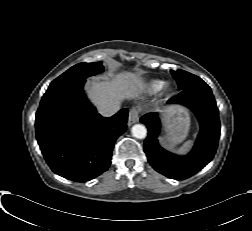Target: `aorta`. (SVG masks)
Returning <instances> with one entry per match:
<instances>
[{
	"label": "aorta",
	"instance_id": "aorta-1",
	"mask_svg": "<svg viewBox=\"0 0 252 231\" xmlns=\"http://www.w3.org/2000/svg\"><path fill=\"white\" fill-rule=\"evenodd\" d=\"M131 133L135 138L144 139L147 136V129L142 124H135L131 129Z\"/></svg>",
	"mask_w": 252,
	"mask_h": 231
}]
</instances>
